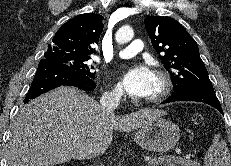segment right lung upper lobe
I'll return each mask as SVG.
<instances>
[{
	"label": "right lung upper lobe",
	"instance_id": "1",
	"mask_svg": "<svg viewBox=\"0 0 231 166\" xmlns=\"http://www.w3.org/2000/svg\"><path fill=\"white\" fill-rule=\"evenodd\" d=\"M103 17L94 13L80 14L66 22L55 34L44 54L55 56L90 57L103 31Z\"/></svg>",
	"mask_w": 231,
	"mask_h": 166
}]
</instances>
